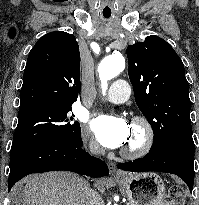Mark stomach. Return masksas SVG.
<instances>
[{"label":"stomach","instance_id":"0dacf381","mask_svg":"<svg viewBox=\"0 0 199 205\" xmlns=\"http://www.w3.org/2000/svg\"><path fill=\"white\" fill-rule=\"evenodd\" d=\"M131 205H160L165 196V185L156 173L127 174L116 180Z\"/></svg>","mask_w":199,"mask_h":205}]
</instances>
